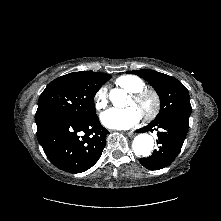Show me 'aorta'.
<instances>
[{"mask_svg":"<svg viewBox=\"0 0 221 221\" xmlns=\"http://www.w3.org/2000/svg\"><path fill=\"white\" fill-rule=\"evenodd\" d=\"M126 97V92L123 89H113L110 92V100L115 106H122L124 99ZM154 147V139L152 136L143 133L137 135L132 143L133 152L137 156L147 157L151 154Z\"/></svg>","mask_w":221,"mask_h":221,"instance_id":"aorta-1","label":"aorta"}]
</instances>
